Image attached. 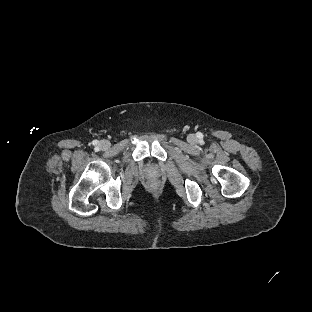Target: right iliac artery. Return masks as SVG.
<instances>
[{
    "mask_svg": "<svg viewBox=\"0 0 312 312\" xmlns=\"http://www.w3.org/2000/svg\"><path fill=\"white\" fill-rule=\"evenodd\" d=\"M98 141L97 140H94L93 141V145H97Z\"/></svg>",
    "mask_w": 312,
    "mask_h": 312,
    "instance_id": "82829eb1",
    "label": "right iliac artery"
}]
</instances>
